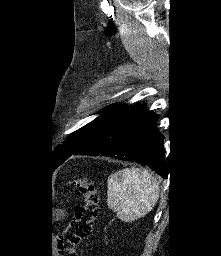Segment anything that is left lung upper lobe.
<instances>
[{
  "label": "left lung upper lobe",
  "mask_w": 221,
  "mask_h": 256,
  "mask_svg": "<svg viewBox=\"0 0 221 256\" xmlns=\"http://www.w3.org/2000/svg\"><path fill=\"white\" fill-rule=\"evenodd\" d=\"M136 107L137 106L127 105L118 107L113 105L112 107L107 108V111L96 118L94 121L70 134L66 141L63 142L62 145L57 146L52 152L50 157L52 167L61 165L86 139H88L97 130L101 129L106 124V122L112 121L113 119H116L117 117L130 112Z\"/></svg>",
  "instance_id": "5c2ea615"
}]
</instances>
